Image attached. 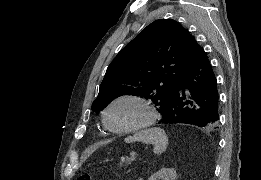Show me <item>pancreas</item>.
<instances>
[{"label":"pancreas","instance_id":"cf45deb5","mask_svg":"<svg viewBox=\"0 0 261 180\" xmlns=\"http://www.w3.org/2000/svg\"><path fill=\"white\" fill-rule=\"evenodd\" d=\"M131 161H129V158L126 159H119V162H117V167L119 169H122V167H128V164H130Z\"/></svg>","mask_w":261,"mask_h":180}]
</instances>
